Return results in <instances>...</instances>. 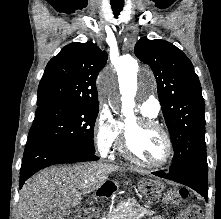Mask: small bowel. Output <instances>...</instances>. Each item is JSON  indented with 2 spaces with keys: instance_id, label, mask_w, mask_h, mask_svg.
Wrapping results in <instances>:
<instances>
[{
  "instance_id": "obj_1",
  "label": "small bowel",
  "mask_w": 221,
  "mask_h": 219,
  "mask_svg": "<svg viewBox=\"0 0 221 219\" xmlns=\"http://www.w3.org/2000/svg\"><path fill=\"white\" fill-rule=\"evenodd\" d=\"M149 219H163V218H161V217H159V216H154V217H151V218H149Z\"/></svg>"
}]
</instances>
